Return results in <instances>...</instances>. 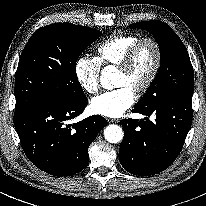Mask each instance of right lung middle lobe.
Here are the masks:
<instances>
[{"mask_svg": "<svg viewBox=\"0 0 206 206\" xmlns=\"http://www.w3.org/2000/svg\"><path fill=\"white\" fill-rule=\"evenodd\" d=\"M101 32L70 23L39 28L29 39L15 75V112L42 101H79L85 97L76 61Z\"/></svg>", "mask_w": 206, "mask_h": 206, "instance_id": "dd1d6c3e", "label": "right lung middle lobe"}]
</instances>
